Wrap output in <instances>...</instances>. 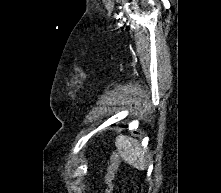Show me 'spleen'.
<instances>
[{"mask_svg":"<svg viewBox=\"0 0 221 193\" xmlns=\"http://www.w3.org/2000/svg\"><path fill=\"white\" fill-rule=\"evenodd\" d=\"M115 144L125 162L140 170L146 168L145 151L137 140L120 135L116 138Z\"/></svg>","mask_w":221,"mask_h":193,"instance_id":"spleen-1","label":"spleen"}]
</instances>
